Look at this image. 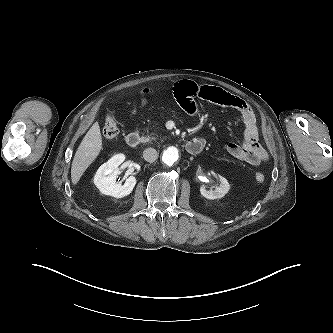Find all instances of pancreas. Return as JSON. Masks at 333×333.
Segmentation results:
<instances>
[{"label": "pancreas", "mask_w": 333, "mask_h": 333, "mask_svg": "<svg viewBox=\"0 0 333 333\" xmlns=\"http://www.w3.org/2000/svg\"><path fill=\"white\" fill-rule=\"evenodd\" d=\"M152 135H154V133H150V134L148 133L147 136L144 137L143 141L151 143L153 140H155V137Z\"/></svg>", "instance_id": "cf45deb5"}]
</instances>
